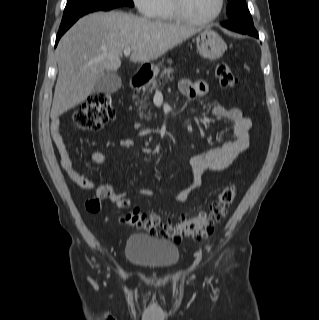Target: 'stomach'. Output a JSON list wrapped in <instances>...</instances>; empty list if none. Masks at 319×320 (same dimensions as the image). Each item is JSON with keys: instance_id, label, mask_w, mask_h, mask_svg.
<instances>
[{"instance_id": "1", "label": "stomach", "mask_w": 319, "mask_h": 320, "mask_svg": "<svg viewBox=\"0 0 319 320\" xmlns=\"http://www.w3.org/2000/svg\"><path fill=\"white\" fill-rule=\"evenodd\" d=\"M196 42L199 54L210 60L219 59L227 49L226 43L222 37L211 29L202 31L197 36ZM151 71L155 77L159 72V68L157 66H151Z\"/></svg>"}]
</instances>
